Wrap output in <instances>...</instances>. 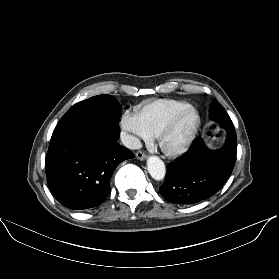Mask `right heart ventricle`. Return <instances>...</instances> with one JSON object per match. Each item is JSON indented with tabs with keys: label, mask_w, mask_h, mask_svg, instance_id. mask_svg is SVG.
Masks as SVG:
<instances>
[{
	"label": "right heart ventricle",
	"mask_w": 279,
	"mask_h": 279,
	"mask_svg": "<svg viewBox=\"0 0 279 279\" xmlns=\"http://www.w3.org/2000/svg\"><path fill=\"white\" fill-rule=\"evenodd\" d=\"M191 106L184 101L156 99L141 103L136 114L150 137H156L166 122L178 111Z\"/></svg>",
	"instance_id": "obj_1"
}]
</instances>
